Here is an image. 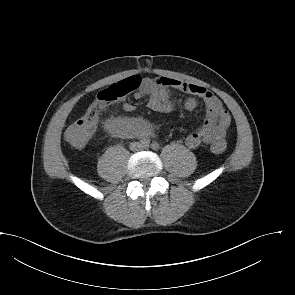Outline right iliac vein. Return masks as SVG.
<instances>
[{"label":"right iliac vein","mask_w":295,"mask_h":295,"mask_svg":"<svg viewBox=\"0 0 295 295\" xmlns=\"http://www.w3.org/2000/svg\"><path fill=\"white\" fill-rule=\"evenodd\" d=\"M140 148V144L139 143H134V144H132V146H131V149L132 150H137V149H139Z\"/></svg>","instance_id":"63e3f726"}]
</instances>
